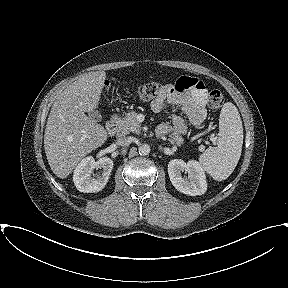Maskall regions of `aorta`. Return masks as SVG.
Returning <instances> with one entry per match:
<instances>
[{"mask_svg": "<svg viewBox=\"0 0 288 288\" xmlns=\"http://www.w3.org/2000/svg\"><path fill=\"white\" fill-rule=\"evenodd\" d=\"M150 146L148 144H142L138 148V152L140 155L146 156L150 153Z\"/></svg>", "mask_w": 288, "mask_h": 288, "instance_id": "762f6f07", "label": "aorta"}]
</instances>
